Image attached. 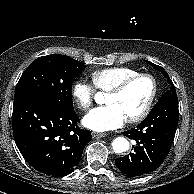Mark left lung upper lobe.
<instances>
[{"mask_svg": "<svg viewBox=\"0 0 194 194\" xmlns=\"http://www.w3.org/2000/svg\"><path fill=\"white\" fill-rule=\"evenodd\" d=\"M146 62H147L148 64H150L152 67H154L157 71L161 72V73L164 75V77L167 78V81H168L169 84L171 85L170 89H169L166 93H164V94L161 96L160 99H163V98L169 97V96L177 97L176 89H175V87H174V85H173V83H172V81H171L169 75H168L167 72L163 69V67H160V66H158V65H156V64H153V63H151V62H149V61H146Z\"/></svg>", "mask_w": 194, "mask_h": 194, "instance_id": "5c2ea615", "label": "left lung upper lobe"}]
</instances>
